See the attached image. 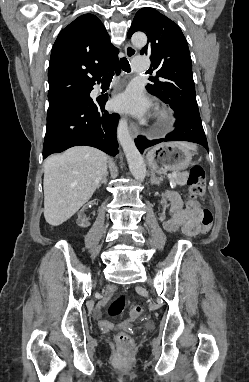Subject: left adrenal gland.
<instances>
[{
  "label": "left adrenal gland",
  "mask_w": 249,
  "mask_h": 382,
  "mask_svg": "<svg viewBox=\"0 0 249 382\" xmlns=\"http://www.w3.org/2000/svg\"><path fill=\"white\" fill-rule=\"evenodd\" d=\"M150 181H151V184H152V185H153V184L159 185V184L162 182V179H161V178H157V177L155 176V174L152 173V174H151V179H150Z\"/></svg>",
  "instance_id": "obj_1"
}]
</instances>
